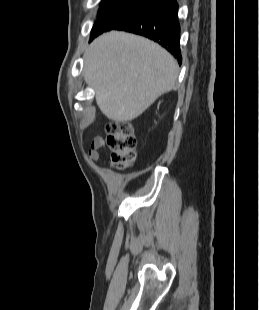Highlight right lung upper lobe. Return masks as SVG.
Wrapping results in <instances>:
<instances>
[{
  "label": "right lung upper lobe",
  "instance_id": "cb5924a9",
  "mask_svg": "<svg viewBox=\"0 0 259 310\" xmlns=\"http://www.w3.org/2000/svg\"><path fill=\"white\" fill-rule=\"evenodd\" d=\"M107 1H110V0H102V3H103V2H107Z\"/></svg>",
  "mask_w": 259,
  "mask_h": 310
}]
</instances>
